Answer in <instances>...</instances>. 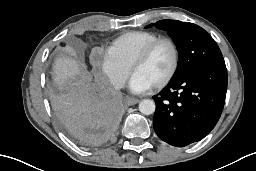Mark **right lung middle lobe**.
I'll return each mask as SVG.
<instances>
[{
  "label": "right lung middle lobe",
  "instance_id": "obj_1",
  "mask_svg": "<svg viewBox=\"0 0 256 171\" xmlns=\"http://www.w3.org/2000/svg\"><path fill=\"white\" fill-rule=\"evenodd\" d=\"M73 96V89L68 91V93H66L65 97H54V105H58L64 102H67L71 97Z\"/></svg>",
  "mask_w": 256,
  "mask_h": 171
}]
</instances>
